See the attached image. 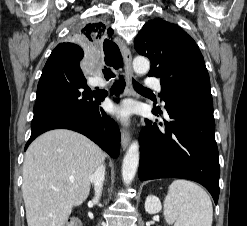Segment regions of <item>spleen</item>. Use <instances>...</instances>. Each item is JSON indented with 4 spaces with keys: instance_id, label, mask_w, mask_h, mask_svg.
Returning <instances> with one entry per match:
<instances>
[{
    "instance_id": "1",
    "label": "spleen",
    "mask_w": 247,
    "mask_h": 226,
    "mask_svg": "<svg viewBox=\"0 0 247 226\" xmlns=\"http://www.w3.org/2000/svg\"><path fill=\"white\" fill-rule=\"evenodd\" d=\"M165 215L175 226H211L213 207L208 194L187 180L173 181L164 201Z\"/></svg>"
}]
</instances>
